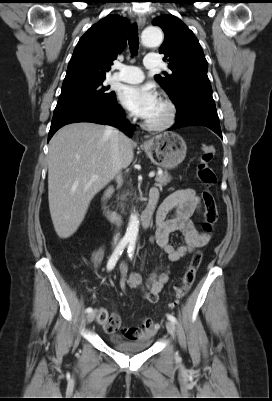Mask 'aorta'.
Masks as SVG:
<instances>
[{
	"label": "aorta",
	"instance_id": "obj_1",
	"mask_svg": "<svg viewBox=\"0 0 272 401\" xmlns=\"http://www.w3.org/2000/svg\"><path fill=\"white\" fill-rule=\"evenodd\" d=\"M142 44L146 47H155L162 43L163 33L158 27H147L141 35ZM139 229V219L136 214H132L129 219L125 238L128 241H136Z\"/></svg>",
	"mask_w": 272,
	"mask_h": 401
}]
</instances>
